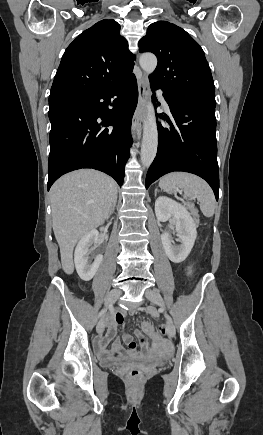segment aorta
<instances>
[{"instance_id":"762f6f07","label":"aorta","mask_w":263,"mask_h":435,"mask_svg":"<svg viewBox=\"0 0 263 435\" xmlns=\"http://www.w3.org/2000/svg\"><path fill=\"white\" fill-rule=\"evenodd\" d=\"M141 68L149 75L154 72L157 66V58L151 53L141 55L139 59ZM158 131L156 117L151 100L147 104V116L143 125V139L141 145V163L149 167L157 153Z\"/></svg>"}]
</instances>
